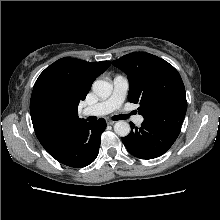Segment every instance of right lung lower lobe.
<instances>
[{
	"instance_id": "obj_1",
	"label": "right lung lower lobe",
	"mask_w": 220,
	"mask_h": 220,
	"mask_svg": "<svg viewBox=\"0 0 220 220\" xmlns=\"http://www.w3.org/2000/svg\"><path fill=\"white\" fill-rule=\"evenodd\" d=\"M105 128L104 119H99L95 123L83 122L48 153L64 165L74 168L85 167L96 159L100 136Z\"/></svg>"
}]
</instances>
